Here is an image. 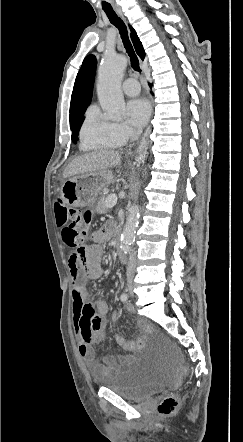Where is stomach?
Wrapping results in <instances>:
<instances>
[{"label":"stomach","instance_id":"stomach-1","mask_svg":"<svg viewBox=\"0 0 243 442\" xmlns=\"http://www.w3.org/2000/svg\"><path fill=\"white\" fill-rule=\"evenodd\" d=\"M114 180L110 169L85 173L69 178L60 189L61 198L70 206L84 207Z\"/></svg>","mask_w":243,"mask_h":442}]
</instances>
